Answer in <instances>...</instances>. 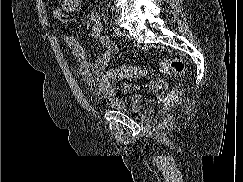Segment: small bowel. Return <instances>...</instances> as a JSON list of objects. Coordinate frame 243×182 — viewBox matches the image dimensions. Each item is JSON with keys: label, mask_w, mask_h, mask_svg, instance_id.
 Returning a JSON list of instances; mask_svg holds the SVG:
<instances>
[{"label": "small bowel", "mask_w": 243, "mask_h": 182, "mask_svg": "<svg viewBox=\"0 0 243 182\" xmlns=\"http://www.w3.org/2000/svg\"><path fill=\"white\" fill-rule=\"evenodd\" d=\"M80 0H62V6L54 9L53 17L61 24L70 23V12L78 9ZM91 34L99 42L102 51L98 53L94 61L88 57L84 47L74 36L65 37V42L79 63L80 74L86 82L94 86L98 93L108 94L113 91L109 78L102 72L110 58L117 53L118 47L109 36L104 33L102 21L98 12L94 11L90 18Z\"/></svg>", "instance_id": "c3829d8e"}]
</instances>
